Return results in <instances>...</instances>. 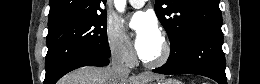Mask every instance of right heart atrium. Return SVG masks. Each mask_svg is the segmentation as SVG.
Returning <instances> with one entry per match:
<instances>
[{"label":"right heart atrium","mask_w":260,"mask_h":84,"mask_svg":"<svg viewBox=\"0 0 260 84\" xmlns=\"http://www.w3.org/2000/svg\"><path fill=\"white\" fill-rule=\"evenodd\" d=\"M106 43L113 59L124 65H132L135 61V53L124 38L120 28L110 22L106 27Z\"/></svg>","instance_id":"d8ad5b80"}]
</instances>
